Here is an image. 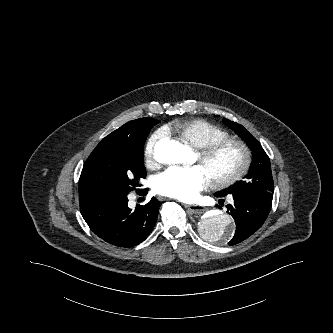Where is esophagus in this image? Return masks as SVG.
<instances>
[{
	"mask_svg": "<svg viewBox=\"0 0 333 333\" xmlns=\"http://www.w3.org/2000/svg\"><path fill=\"white\" fill-rule=\"evenodd\" d=\"M184 207L191 213L200 215L204 213L205 208L196 204H185Z\"/></svg>",
	"mask_w": 333,
	"mask_h": 333,
	"instance_id": "obj_1",
	"label": "esophagus"
}]
</instances>
